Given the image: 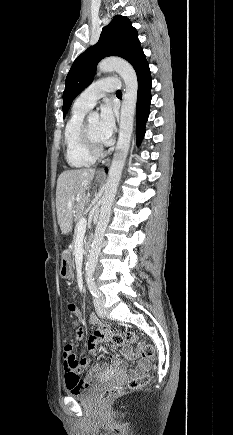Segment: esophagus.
I'll use <instances>...</instances> for the list:
<instances>
[{
	"instance_id": "1",
	"label": "esophagus",
	"mask_w": 233,
	"mask_h": 435,
	"mask_svg": "<svg viewBox=\"0 0 233 435\" xmlns=\"http://www.w3.org/2000/svg\"><path fill=\"white\" fill-rule=\"evenodd\" d=\"M98 175H100V176H104V175H105V171H104V169H100V170L98 171Z\"/></svg>"
}]
</instances>
